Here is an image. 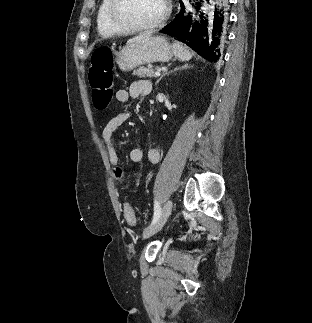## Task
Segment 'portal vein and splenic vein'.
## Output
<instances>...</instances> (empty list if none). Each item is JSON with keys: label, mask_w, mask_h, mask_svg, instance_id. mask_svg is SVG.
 <instances>
[{"label": "portal vein and splenic vein", "mask_w": 312, "mask_h": 323, "mask_svg": "<svg viewBox=\"0 0 312 323\" xmlns=\"http://www.w3.org/2000/svg\"><path fill=\"white\" fill-rule=\"evenodd\" d=\"M155 76H161L160 72H155Z\"/></svg>", "instance_id": "portal-vein-and-splenic-vein-1"}]
</instances>
